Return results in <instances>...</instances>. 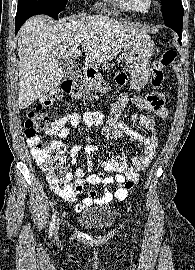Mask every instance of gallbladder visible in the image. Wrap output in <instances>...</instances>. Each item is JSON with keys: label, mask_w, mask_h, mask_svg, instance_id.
I'll use <instances>...</instances> for the list:
<instances>
[{"label": "gallbladder", "mask_w": 195, "mask_h": 270, "mask_svg": "<svg viewBox=\"0 0 195 270\" xmlns=\"http://www.w3.org/2000/svg\"><path fill=\"white\" fill-rule=\"evenodd\" d=\"M62 67L64 72V80L73 79L80 74L79 66L75 62L63 63Z\"/></svg>", "instance_id": "1"}]
</instances>
